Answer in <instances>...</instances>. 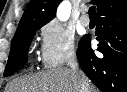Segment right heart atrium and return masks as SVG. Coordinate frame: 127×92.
<instances>
[{"label":"right heart atrium","instance_id":"right-heart-atrium-1","mask_svg":"<svg viewBox=\"0 0 127 92\" xmlns=\"http://www.w3.org/2000/svg\"><path fill=\"white\" fill-rule=\"evenodd\" d=\"M40 38V62L44 68H59L75 58L74 36L62 25H44L40 30Z\"/></svg>","mask_w":127,"mask_h":92}]
</instances>
